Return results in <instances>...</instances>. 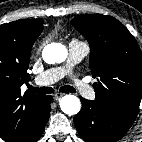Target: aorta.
Returning a JSON list of instances; mask_svg holds the SVG:
<instances>
[{"mask_svg":"<svg viewBox=\"0 0 142 142\" xmlns=\"http://www.w3.org/2000/svg\"><path fill=\"white\" fill-rule=\"evenodd\" d=\"M43 60L48 64H57L64 61L67 57V49L57 43L45 46ZM60 108L67 115H76L81 109L80 99L74 95H65L60 100Z\"/></svg>","mask_w":142,"mask_h":142,"instance_id":"obj_1","label":"aorta"}]
</instances>
